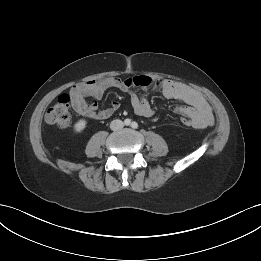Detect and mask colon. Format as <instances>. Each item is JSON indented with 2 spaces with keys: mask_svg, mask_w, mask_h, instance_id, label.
Masks as SVG:
<instances>
[{
  "mask_svg": "<svg viewBox=\"0 0 261 261\" xmlns=\"http://www.w3.org/2000/svg\"><path fill=\"white\" fill-rule=\"evenodd\" d=\"M45 119L47 123L60 128H66L69 126L71 122V113L69 97L66 94L61 95L57 102L49 108ZM181 122L185 126H192V121L187 117H182Z\"/></svg>",
  "mask_w": 261,
  "mask_h": 261,
  "instance_id": "5ec220e1",
  "label": "colon"
}]
</instances>
